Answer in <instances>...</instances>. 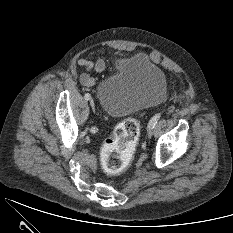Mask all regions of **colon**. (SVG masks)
Segmentation results:
<instances>
[{
  "instance_id": "5ec220e1",
  "label": "colon",
  "mask_w": 233,
  "mask_h": 233,
  "mask_svg": "<svg viewBox=\"0 0 233 233\" xmlns=\"http://www.w3.org/2000/svg\"><path fill=\"white\" fill-rule=\"evenodd\" d=\"M139 137V124L128 118L120 122L104 143L101 151V166L109 176L121 174L129 165Z\"/></svg>"
}]
</instances>
